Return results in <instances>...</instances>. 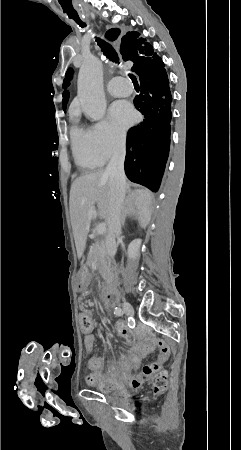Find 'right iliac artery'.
<instances>
[{"label": "right iliac artery", "instance_id": "obj_1", "mask_svg": "<svg viewBox=\"0 0 241 450\" xmlns=\"http://www.w3.org/2000/svg\"><path fill=\"white\" fill-rule=\"evenodd\" d=\"M114 314L116 316H122L123 315V310L120 307H116L114 310Z\"/></svg>", "mask_w": 241, "mask_h": 450}]
</instances>
